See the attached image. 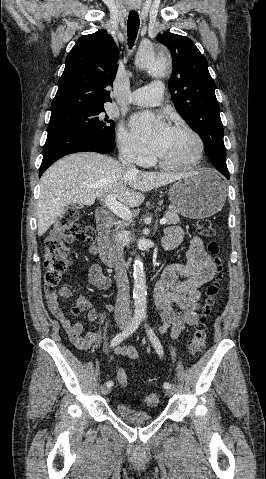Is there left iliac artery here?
<instances>
[{"label": "left iliac artery", "mask_w": 266, "mask_h": 479, "mask_svg": "<svg viewBox=\"0 0 266 479\" xmlns=\"http://www.w3.org/2000/svg\"><path fill=\"white\" fill-rule=\"evenodd\" d=\"M145 318H146V315L143 314V315H142V319H145ZM146 331H147V334H148V336H149V339H150L152 345H153L154 348L156 349V352H157L160 356H163V347H162V345H161L159 339L157 338V336H156L155 333L153 332V330H152L150 327H147ZM163 387H164L165 389L170 388V387H171V384L168 383V382H165V383L163 384Z\"/></svg>", "instance_id": "left-iliac-artery-1"}]
</instances>
